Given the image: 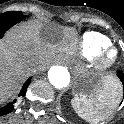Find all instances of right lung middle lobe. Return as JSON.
<instances>
[{
  "instance_id": "dd1d6c3e",
  "label": "right lung middle lobe",
  "mask_w": 124,
  "mask_h": 124,
  "mask_svg": "<svg viewBox=\"0 0 124 124\" xmlns=\"http://www.w3.org/2000/svg\"><path fill=\"white\" fill-rule=\"evenodd\" d=\"M25 18V15L22 14L21 11H9L0 14V20L1 19H12V20H17L20 21Z\"/></svg>"
}]
</instances>
